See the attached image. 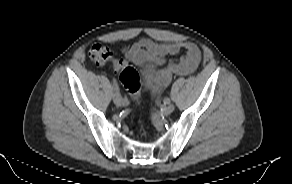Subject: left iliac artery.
I'll list each match as a JSON object with an SVG mask.
<instances>
[{
    "mask_svg": "<svg viewBox=\"0 0 292 184\" xmlns=\"http://www.w3.org/2000/svg\"><path fill=\"white\" fill-rule=\"evenodd\" d=\"M163 102H164V104H170V99H169V98H165V99L163 100Z\"/></svg>",
    "mask_w": 292,
    "mask_h": 184,
    "instance_id": "44dca946",
    "label": "left iliac artery"
}]
</instances>
